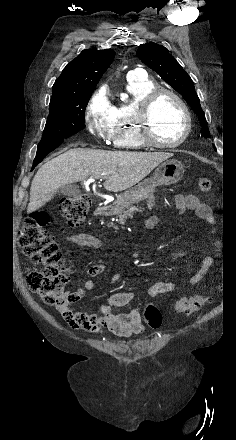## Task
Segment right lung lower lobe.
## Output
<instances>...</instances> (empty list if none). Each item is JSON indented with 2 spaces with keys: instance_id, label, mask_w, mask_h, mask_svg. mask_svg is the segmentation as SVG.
<instances>
[{
  "instance_id": "1",
  "label": "right lung lower lobe",
  "mask_w": 236,
  "mask_h": 440,
  "mask_svg": "<svg viewBox=\"0 0 236 440\" xmlns=\"http://www.w3.org/2000/svg\"><path fill=\"white\" fill-rule=\"evenodd\" d=\"M63 141H54L44 144H39L37 149L36 158L33 162L32 170L55 148H57Z\"/></svg>"
}]
</instances>
